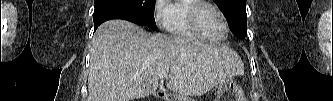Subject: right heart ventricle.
<instances>
[{
	"mask_svg": "<svg viewBox=\"0 0 333 101\" xmlns=\"http://www.w3.org/2000/svg\"><path fill=\"white\" fill-rule=\"evenodd\" d=\"M194 2L193 0H177L170 6L167 29L172 35L190 40L202 39L192 30L188 21V9Z\"/></svg>",
	"mask_w": 333,
	"mask_h": 101,
	"instance_id": "e07e8e85",
	"label": "right heart ventricle"
}]
</instances>
